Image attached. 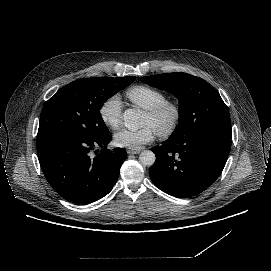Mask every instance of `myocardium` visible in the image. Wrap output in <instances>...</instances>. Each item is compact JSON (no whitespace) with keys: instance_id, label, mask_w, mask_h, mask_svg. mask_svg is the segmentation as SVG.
<instances>
[{"instance_id":"myocardium-1","label":"myocardium","mask_w":271,"mask_h":271,"mask_svg":"<svg viewBox=\"0 0 271 271\" xmlns=\"http://www.w3.org/2000/svg\"><path fill=\"white\" fill-rule=\"evenodd\" d=\"M146 114L153 120H159L168 117V120L158 125L156 133L160 136L171 134L177 127L180 118L181 110L177 103L166 100L146 110Z\"/></svg>"}]
</instances>
